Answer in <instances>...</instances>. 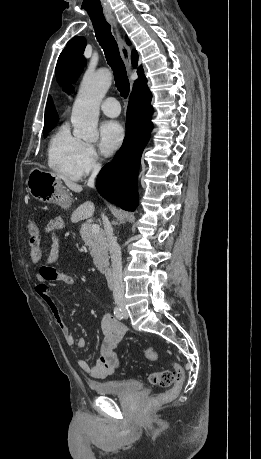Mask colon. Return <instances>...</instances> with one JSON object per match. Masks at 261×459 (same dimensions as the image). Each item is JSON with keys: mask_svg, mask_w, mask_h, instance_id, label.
<instances>
[{"mask_svg": "<svg viewBox=\"0 0 261 459\" xmlns=\"http://www.w3.org/2000/svg\"><path fill=\"white\" fill-rule=\"evenodd\" d=\"M19 233L21 236H28V243L30 244L28 249L31 251L30 258L32 260L45 261L48 258L42 247L41 230L36 222H27L25 227L20 228ZM145 354L149 360H156L158 358V353L154 348H148ZM183 380L184 371L178 364H175L172 370L152 371L149 374V381L154 385L169 389L153 397L150 400V404L157 405L174 399L181 389Z\"/></svg>", "mask_w": 261, "mask_h": 459, "instance_id": "colon-1", "label": "colon"}]
</instances>
